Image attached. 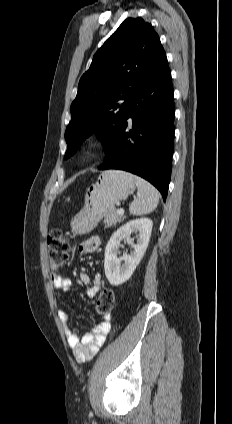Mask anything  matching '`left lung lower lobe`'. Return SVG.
Segmentation results:
<instances>
[{
  "mask_svg": "<svg viewBox=\"0 0 232 424\" xmlns=\"http://www.w3.org/2000/svg\"><path fill=\"white\" fill-rule=\"evenodd\" d=\"M132 128L127 132L128 122ZM174 142V90L165 57L133 96L100 170L120 169L152 183L166 200Z\"/></svg>",
  "mask_w": 232,
  "mask_h": 424,
  "instance_id": "left-lung-lower-lobe-1",
  "label": "left lung lower lobe"
}]
</instances>
